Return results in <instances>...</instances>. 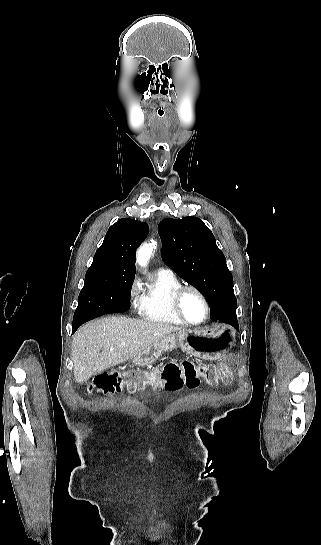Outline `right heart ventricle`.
I'll return each mask as SVG.
<instances>
[{
	"label": "right heart ventricle",
	"mask_w": 321,
	"mask_h": 545,
	"mask_svg": "<svg viewBox=\"0 0 321 545\" xmlns=\"http://www.w3.org/2000/svg\"><path fill=\"white\" fill-rule=\"evenodd\" d=\"M182 283L175 276L164 272L156 273L148 291L142 296L140 317L149 323L166 326L181 325L172 315L169 307L170 295Z\"/></svg>",
	"instance_id": "right-heart-ventricle-1"
}]
</instances>
